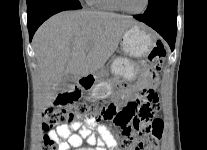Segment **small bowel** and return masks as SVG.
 I'll use <instances>...</instances> for the list:
<instances>
[{
    "instance_id": "c3829d8e",
    "label": "small bowel",
    "mask_w": 207,
    "mask_h": 150,
    "mask_svg": "<svg viewBox=\"0 0 207 150\" xmlns=\"http://www.w3.org/2000/svg\"><path fill=\"white\" fill-rule=\"evenodd\" d=\"M145 83L152 86L148 79ZM120 99L127 101V94L121 95ZM93 127L89 121L82 123L74 116L67 124L50 130L46 137L56 139L60 143V150H116L118 143L112 129L107 125H100L94 132ZM84 141L89 146H84Z\"/></svg>"
}]
</instances>
